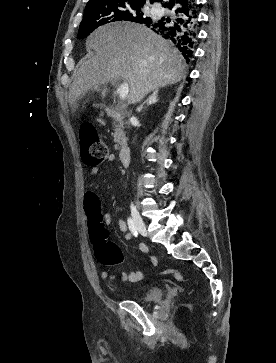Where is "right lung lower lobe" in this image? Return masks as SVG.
<instances>
[{"mask_svg": "<svg viewBox=\"0 0 276 363\" xmlns=\"http://www.w3.org/2000/svg\"><path fill=\"white\" fill-rule=\"evenodd\" d=\"M163 7L171 11L170 17H162L153 22L145 20L143 23L170 40L189 61L194 53L198 26L196 0H168L164 2Z\"/></svg>", "mask_w": 276, "mask_h": 363, "instance_id": "right-lung-lower-lobe-1", "label": "right lung lower lobe"}]
</instances>
